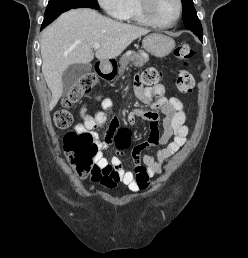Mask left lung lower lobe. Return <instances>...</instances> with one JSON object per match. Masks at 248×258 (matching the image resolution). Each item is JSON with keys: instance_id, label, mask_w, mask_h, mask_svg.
<instances>
[{"instance_id": "left-lung-lower-lobe-1", "label": "left lung lower lobe", "mask_w": 248, "mask_h": 258, "mask_svg": "<svg viewBox=\"0 0 248 258\" xmlns=\"http://www.w3.org/2000/svg\"><path fill=\"white\" fill-rule=\"evenodd\" d=\"M188 29L192 31L195 35H197L199 39L202 41V27L188 28Z\"/></svg>"}]
</instances>
